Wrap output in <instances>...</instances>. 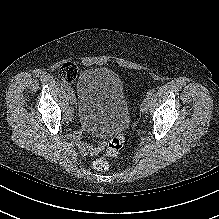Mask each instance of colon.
I'll return each mask as SVG.
<instances>
[{
	"label": "colon",
	"instance_id": "1",
	"mask_svg": "<svg viewBox=\"0 0 219 219\" xmlns=\"http://www.w3.org/2000/svg\"><path fill=\"white\" fill-rule=\"evenodd\" d=\"M59 77L68 83H71L77 77V68L71 63L67 62L61 65L59 68ZM125 143V134L123 131H120L114 138H112L106 148V153L104 157L96 159L93 163V166L96 170L105 171L109 169L110 164L108 158L113 157L118 154Z\"/></svg>",
	"mask_w": 219,
	"mask_h": 219
}]
</instances>
